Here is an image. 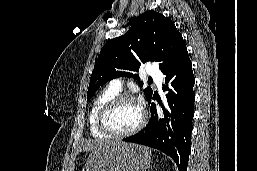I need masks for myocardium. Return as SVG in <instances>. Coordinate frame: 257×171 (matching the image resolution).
Wrapping results in <instances>:
<instances>
[{"label": "myocardium", "instance_id": "myocardium-1", "mask_svg": "<svg viewBox=\"0 0 257 171\" xmlns=\"http://www.w3.org/2000/svg\"><path fill=\"white\" fill-rule=\"evenodd\" d=\"M122 103H136V101L127 95H118L114 97L113 99L109 100L100 110L98 119H97V125L100 131H102L104 134L111 138H116V139H122L126 138L129 136H132L136 133H138L146 124L147 121V116L146 113L141 109V119L140 122L131 130L126 131V132H114L113 130L110 129L108 126V116L110 112L118 105Z\"/></svg>", "mask_w": 257, "mask_h": 171}]
</instances>
